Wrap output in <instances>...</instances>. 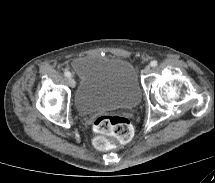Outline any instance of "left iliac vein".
<instances>
[{
	"instance_id": "left-iliac-vein-1",
	"label": "left iliac vein",
	"mask_w": 215,
	"mask_h": 183,
	"mask_svg": "<svg viewBox=\"0 0 215 183\" xmlns=\"http://www.w3.org/2000/svg\"><path fill=\"white\" fill-rule=\"evenodd\" d=\"M144 74H149L151 72V68L149 66H146L143 70Z\"/></svg>"
}]
</instances>
